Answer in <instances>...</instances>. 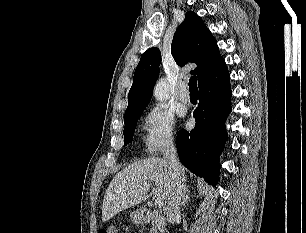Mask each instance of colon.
Returning a JSON list of instances; mask_svg holds the SVG:
<instances>
[{
	"instance_id": "colon-1",
	"label": "colon",
	"mask_w": 306,
	"mask_h": 233,
	"mask_svg": "<svg viewBox=\"0 0 306 233\" xmlns=\"http://www.w3.org/2000/svg\"><path fill=\"white\" fill-rule=\"evenodd\" d=\"M119 232H120V224L114 222L101 227L98 233H119Z\"/></svg>"
}]
</instances>
